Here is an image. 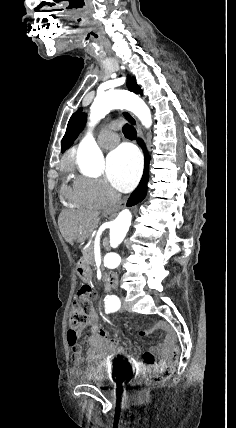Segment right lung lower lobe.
<instances>
[{"label": "right lung lower lobe", "instance_id": "right-lung-lower-lobe-1", "mask_svg": "<svg viewBox=\"0 0 236 428\" xmlns=\"http://www.w3.org/2000/svg\"><path fill=\"white\" fill-rule=\"evenodd\" d=\"M139 145L144 149V144L142 142V140H138ZM149 155L145 152V165H144V173L142 176V179L138 185V187L133 191V193L131 194L127 206H133L135 204H138L139 202H141L147 193V183L149 180Z\"/></svg>", "mask_w": 236, "mask_h": 428}]
</instances>
